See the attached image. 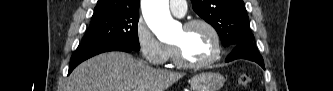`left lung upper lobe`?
I'll return each instance as SVG.
<instances>
[{
	"label": "left lung upper lobe",
	"instance_id": "left-lung-upper-lobe-1",
	"mask_svg": "<svg viewBox=\"0 0 333 91\" xmlns=\"http://www.w3.org/2000/svg\"><path fill=\"white\" fill-rule=\"evenodd\" d=\"M193 10L218 32L225 47L253 42L243 0H191Z\"/></svg>",
	"mask_w": 333,
	"mask_h": 91
}]
</instances>
